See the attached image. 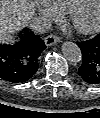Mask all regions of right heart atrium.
Returning a JSON list of instances; mask_svg holds the SVG:
<instances>
[{
    "instance_id": "right-heart-atrium-1",
    "label": "right heart atrium",
    "mask_w": 100,
    "mask_h": 118,
    "mask_svg": "<svg viewBox=\"0 0 100 118\" xmlns=\"http://www.w3.org/2000/svg\"><path fill=\"white\" fill-rule=\"evenodd\" d=\"M36 6L44 18L53 21H59L62 18V13L57 10L51 0H36Z\"/></svg>"
}]
</instances>
